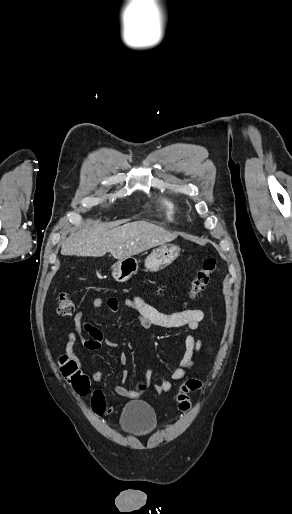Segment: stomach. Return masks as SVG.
<instances>
[{"label": "stomach", "instance_id": "1", "mask_svg": "<svg viewBox=\"0 0 292 514\" xmlns=\"http://www.w3.org/2000/svg\"><path fill=\"white\" fill-rule=\"evenodd\" d=\"M179 256V248L176 246H160L147 256L144 266L147 272H159L171 264ZM138 262L135 258H122L112 266V278L116 282H127L133 274H137Z\"/></svg>", "mask_w": 292, "mask_h": 514}]
</instances>
